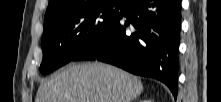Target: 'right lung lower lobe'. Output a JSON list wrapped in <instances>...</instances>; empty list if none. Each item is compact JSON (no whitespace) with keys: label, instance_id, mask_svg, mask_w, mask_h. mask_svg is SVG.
Masks as SVG:
<instances>
[{"label":"right lung lower lobe","instance_id":"1","mask_svg":"<svg viewBox=\"0 0 221 102\" xmlns=\"http://www.w3.org/2000/svg\"><path fill=\"white\" fill-rule=\"evenodd\" d=\"M180 25L179 0H124L116 22L73 61L97 59L155 78L176 98Z\"/></svg>","mask_w":221,"mask_h":102}]
</instances>
